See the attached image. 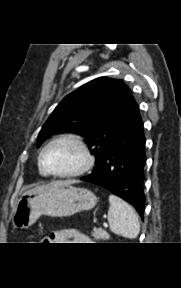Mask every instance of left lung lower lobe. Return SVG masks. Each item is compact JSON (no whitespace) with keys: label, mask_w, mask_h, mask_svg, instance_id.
Returning <instances> with one entry per match:
<instances>
[{"label":"left lung lower lobe","mask_w":181,"mask_h":288,"mask_svg":"<svg viewBox=\"0 0 181 288\" xmlns=\"http://www.w3.org/2000/svg\"><path fill=\"white\" fill-rule=\"evenodd\" d=\"M145 161L143 122L134 101L118 137L93 172L81 180L102 186L121 197L133 205L143 219Z\"/></svg>","instance_id":"1"}]
</instances>
